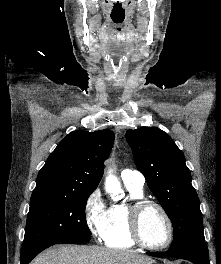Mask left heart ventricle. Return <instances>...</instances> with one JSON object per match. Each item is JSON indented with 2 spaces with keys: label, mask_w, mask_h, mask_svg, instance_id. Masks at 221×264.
I'll use <instances>...</instances> for the list:
<instances>
[{
  "label": "left heart ventricle",
  "mask_w": 221,
  "mask_h": 264,
  "mask_svg": "<svg viewBox=\"0 0 221 264\" xmlns=\"http://www.w3.org/2000/svg\"><path fill=\"white\" fill-rule=\"evenodd\" d=\"M141 235L144 241L150 245H162L168 239V226L155 207H147L141 216Z\"/></svg>",
  "instance_id": "obj_1"
}]
</instances>
